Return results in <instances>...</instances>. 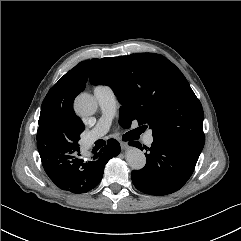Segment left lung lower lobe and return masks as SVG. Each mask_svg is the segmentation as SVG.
<instances>
[{
  "instance_id": "0a47b994",
  "label": "left lung lower lobe",
  "mask_w": 241,
  "mask_h": 241,
  "mask_svg": "<svg viewBox=\"0 0 241 241\" xmlns=\"http://www.w3.org/2000/svg\"><path fill=\"white\" fill-rule=\"evenodd\" d=\"M152 146L145 153L143 169L132 171L135 187L150 195H167L179 190L188 181L202 150L168 138L153 137ZM129 145L142 150L138 141Z\"/></svg>"
}]
</instances>
